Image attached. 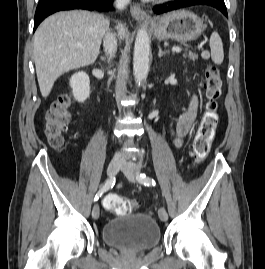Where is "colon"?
Instances as JSON below:
<instances>
[{
	"label": "colon",
	"mask_w": 265,
	"mask_h": 269,
	"mask_svg": "<svg viewBox=\"0 0 265 269\" xmlns=\"http://www.w3.org/2000/svg\"><path fill=\"white\" fill-rule=\"evenodd\" d=\"M206 100L204 111L193 141V157L202 161L208 155L214 141L219 121V98L222 92V79L219 70L208 65L205 70ZM72 99L68 95L59 97L45 115L44 134L49 143L60 148L64 144V135L70 119ZM104 207L116 214L130 213L134 207L133 201L117 194H109L104 199Z\"/></svg>",
	"instance_id": "5ec220e1"
}]
</instances>
